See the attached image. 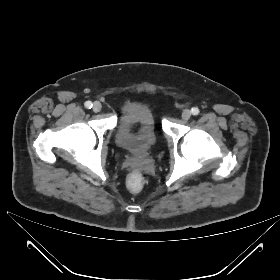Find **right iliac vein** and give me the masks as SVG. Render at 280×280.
Masks as SVG:
<instances>
[{
  "mask_svg": "<svg viewBox=\"0 0 280 280\" xmlns=\"http://www.w3.org/2000/svg\"><path fill=\"white\" fill-rule=\"evenodd\" d=\"M102 108V105L100 102H95L94 105H93V111L94 112H99Z\"/></svg>",
  "mask_w": 280,
  "mask_h": 280,
  "instance_id": "obj_1",
  "label": "right iliac vein"
}]
</instances>
